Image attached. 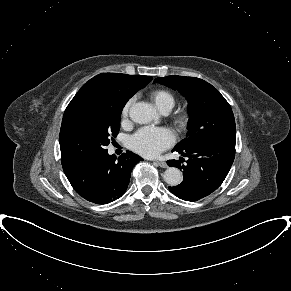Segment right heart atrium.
Listing matches in <instances>:
<instances>
[{
	"instance_id": "right-heart-atrium-1",
	"label": "right heart atrium",
	"mask_w": 291,
	"mask_h": 291,
	"mask_svg": "<svg viewBox=\"0 0 291 291\" xmlns=\"http://www.w3.org/2000/svg\"><path fill=\"white\" fill-rule=\"evenodd\" d=\"M133 103V99L130 98L125 104L124 106L122 107V110H121V120L124 122L127 120L128 118V115H129V110H130V107Z\"/></svg>"
}]
</instances>
